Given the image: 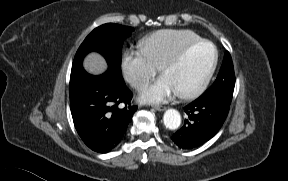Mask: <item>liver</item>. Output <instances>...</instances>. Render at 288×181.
Returning <instances> with one entry per match:
<instances>
[{
	"instance_id": "6515ba94",
	"label": "liver",
	"mask_w": 288,
	"mask_h": 181,
	"mask_svg": "<svg viewBox=\"0 0 288 181\" xmlns=\"http://www.w3.org/2000/svg\"><path fill=\"white\" fill-rule=\"evenodd\" d=\"M86 71L92 74H101L106 71L107 63L105 59L98 53L88 54L83 62Z\"/></svg>"
}]
</instances>
